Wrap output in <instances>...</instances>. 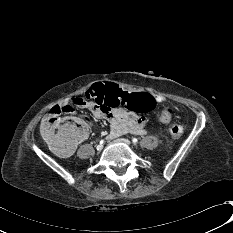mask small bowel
Segmentation results:
<instances>
[{
  "instance_id": "obj_1",
  "label": "small bowel",
  "mask_w": 233,
  "mask_h": 233,
  "mask_svg": "<svg viewBox=\"0 0 233 233\" xmlns=\"http://www.w3.org/2000/svg\"><path fill=\"white\" fill-rule=\"evenodd\" d=\"M150 94L155 98L156 102L160 103L166 100L163 95ZM67 105H72L74 108L90 110L97 119L108 120L113 137L129 133L143 136L147 133L145 119L140 117L136 112L122 109L120 107L107 108L100 104L95 105L93 100L86 97H75L71 99L70 104ZM74 149L75 145L73 146L71 153Z\"/></svg>"
}]
</instances>
